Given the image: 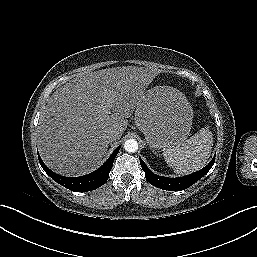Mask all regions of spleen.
<instances>
[{
  "label": "spleen",
  "mask_w": 257,
  "mask_h": 257,
  "mask_svg": "<svg viewBox=\"0 0 257 257\" xmlns=\"http://www.w3.org/2000/svg\"><path fill=\"white\" fill-rule=\"evenodd\" d=\"M213 146V134L209 127H203L186 141L164 150L166 163L178 175L200 170L208 163Z\"/></svg>",
  "instance_id": "obj_1"
}]
</instances>
